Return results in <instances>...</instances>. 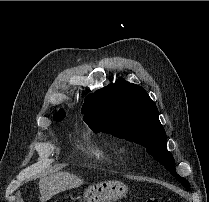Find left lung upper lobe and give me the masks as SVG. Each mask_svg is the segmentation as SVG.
Instances as JSON below:
<instances>
[{
	"instance_id": "5c2ea615",
	"label": "left lung upper lobe",
	"mask_w": 209,
	"mask_h": 202,
	"mask_svg": "<svg viewBox=\"0 0 209 202\" xmlns=\"http://www.w3.org/2000/svg\"><path fill=\"white\" fill-rule=\"evenodd\" d=\"M81 113L96 132L111 133L146 148L182 185L189 182L175 171V161L167 151V136L158 116L156 104L144 88L119 78L114 84L86 97Z\"/></svg>"
}]
</instances>
